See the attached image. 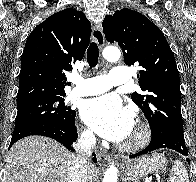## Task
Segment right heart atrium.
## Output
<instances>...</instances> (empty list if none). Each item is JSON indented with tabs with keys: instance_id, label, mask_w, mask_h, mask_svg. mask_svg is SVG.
Segmentation results:
<instances>
[{
	"instance_id": "1",
	"label": "right heart atrium",
	"mask_w": 196,
	"mask_h": 182,
	"mask_svg": "<svg viewBox=\"0 0 196 182\" xmlns=\"http://www.w3.org/2000/svg\"><path fill=\"white\" fill-rule=\"evenodd\" d=\"M80 138L87 144H92L94 142V135L89 129H83L80 133Z\"/></svg>"
}]
</instances>
